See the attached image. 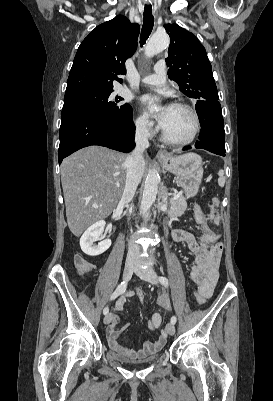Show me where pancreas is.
I'll list each match as a JSON object with an SVG mask.
<instances>
[{
	"label": "pancreas",
	"instance_id": "obj_1",
	"mask_svg": "<svg viewBox=\"0 0 273 401\" xmlns=\"http://www.w3.org/2000/svg\"><path fill=\"white\" fill-rule=\"evenodd\" d=\"M172 198H169L167 205H170L168 209L169 219H175V217H182L184 211L187 209V203L185 196L180 197L177 201L171 202Z\"/></svg>",
	"mask_w": 273,
	"mask_h": 401
}]
</instances>
